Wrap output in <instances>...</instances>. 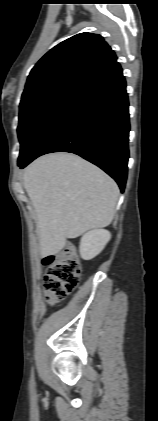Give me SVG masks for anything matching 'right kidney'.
<instances>
[{"label":"right kidney","instance_id":"obj_1","mask_svg":"<svg viewBox=\"0 0 158 421\" xmlns=\"http://www.w3.org/2000/svg\"><path fill=\"white\" fill-rule=\"evenodd\" d=\"M111 239L109 231L96 229L83 235L80 241L79 251L84 260H91L96 257Z\"/></svg>","mask_w":158,"mask_h":421}]
</instances>
